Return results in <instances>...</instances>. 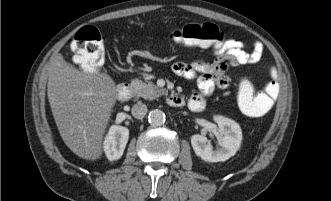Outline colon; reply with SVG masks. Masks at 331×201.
Listing matches in <instances>:
<instances>
[{"label": "colon", "instance_id": "obj_1", "mask_svg": "<svg viewBox=\"0 0 331 201\" xmlns=\"http://www.w3.org/2000/svg\"><path fill=\"white\" fill-rule=\"evenodd\" d=\"M173 39L183 45L218 49L225 40L224 32L212 23L189 24L172 33ZM72 48L76 63L86 72L99 70L105 59V49L99 31L93 26L80 29L74 37ZM272 80L262 89L247 79L239 82L237 102L246 115L259 117L268 113L278 97L279 82L275 68L271 70Z\"/></svg>", "mask_w": 331, "mask_h": 201}]
</instances>
